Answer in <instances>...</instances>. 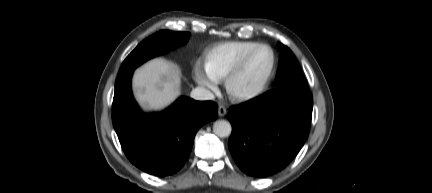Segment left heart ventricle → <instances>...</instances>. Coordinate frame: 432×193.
<instances>
[{
  "mask_svg": "<svg viewBox=\"0 0 432 193\" xmlns=\"http://www.w3.org/2000/svg\"><path fill=\"white\" fill-rule=\"evenodd\" d=\"M272 64V54L269 49L262 48L250 59L239 74L234 86L239 91H251L259 87L265 80Z\"/></svg>",
  "mask_w": 432,
  "mask_h": 193,
  "instance_id": "1",
  "label": "left heart ventricle"
}]
</instances>
